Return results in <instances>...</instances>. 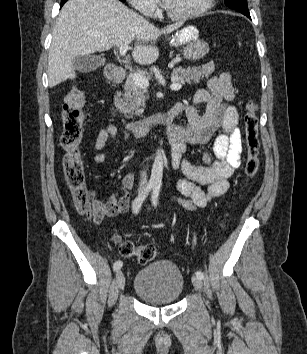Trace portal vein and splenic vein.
Wrapping results in <instances>:
<instances>
[{
    "mask_svg": "<svg viewBox=\"0 0 307 354\" xmlns=\"http://www.w3.org/2000/svg\"><path fill=\"white\" fill-rule=\"evenodd\" d=\"M129 47L128 45L124 44V45H121L120 48H119V54L121 56H125L127 51H128ZM132 76V79L133 81L135 82V84L140 87V88H143V89H146L148 86H149V80L144 77L143 75L139 74V73H136V72H133L130 74ZM173 83L170 85V88L172 90H180L182 88V84L181 83H178L174 80H172Z\"/></svg>",
    "mask_w": 307,
    "mask_h": 354,
    "instance_id": "obj_1",
    "label": "portal vein and splenic vein"
}]
</instances>
